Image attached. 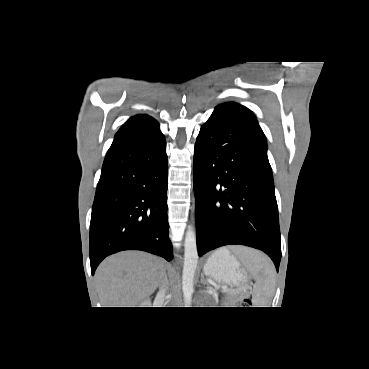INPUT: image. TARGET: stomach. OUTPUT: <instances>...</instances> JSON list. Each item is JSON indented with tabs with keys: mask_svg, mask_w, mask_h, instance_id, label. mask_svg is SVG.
Returning <instances> with one entry per match:
<instances>
[{
	"mask_svg": "<svg viewBox=\"0 0 369 369\" xmlns=\"http://www.w3.org/2000/svg\"><path fill=\"white\" fill-rule=\"evenodd\" d=\"M203 270L214 280L229 285L243 284L248 278L240 263L226 248L214 252L208 258Z\"/></svg>",
	"mask_w": 369,
	"mask_h": 369,
	"instance_id": "stomach-1",
	"label": "stomach"
}]
</instances>
